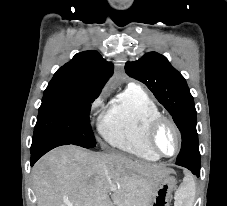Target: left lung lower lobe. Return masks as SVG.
Returning <instances> with one entry per match:
<instances>
[{
  "label": "left lung lower lobe",
  "instance_id": "1",
  "mask_svg": "<svg viewBox=\"0 0 227 206\" xmlns=\"http://www.w3.org/2000/svg\"><path fill=\"white\" fill-rule=\"evenodd\" d=\"M177 165L189 169L197 177L200 175V163L176 162Z\"/></svg>",
  "mask_w": 227,
  "mask_h": 206
}]
</instances>
